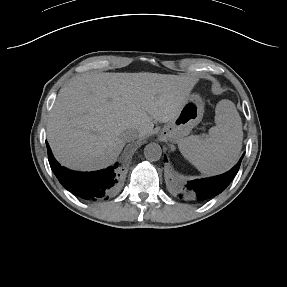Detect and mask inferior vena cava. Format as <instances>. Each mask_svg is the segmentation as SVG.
Segmentation results:
<instances>
[{"label":"inferior vena cava","instance_id":"inferior-vena-cava-1","mask_svg":"<svg viewBox=\"0 0 287 287\" xmlns=\"http://www.w3.org/2000/svg\"><path fill=\"white\" fill-rule=\"evenodd\" d=\"M140 136H142V134L134 129H128L122 133V138L125 142H130L132 140L137 139Z\"/></svg>","mask_w":287,"mask_h":287}]
</instances>
